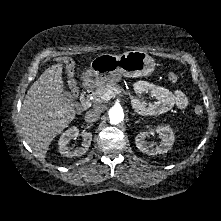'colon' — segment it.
<instances>
[{
    "instance_id": "5ec220e1",
    "label": "colon",
    "mask_w": 221,
    "mask_h": 221,
    "mask_svg": "<svg viewBox=\"0 0 221 221\" xmlns=\"http://www.w3.org/2000/svg\"><path fill=\"white\" fill-rule=\"evenodd\" d=\"M169 80H170L171 82L175 83V82L178 81V76H177L176 74H174V73H171V74L169 75ZM71 91H72V93H73L74 95H76V93H77V88H76V86H75L74 84H72V86H71ZM203 112H204V110H203V107H202V106L196 105V106L194 107V113H195L196 115L200 116V115L203 114Z\"/></svg>"
}]
</instances>
